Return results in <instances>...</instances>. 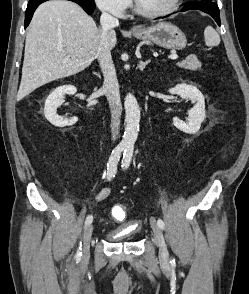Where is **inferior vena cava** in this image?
I'll use <instances>...</instances> for the list:
<instances>
[{
    "mask_svg": "<svg viewBox=\"0 0 249 294\" xmlns=\"http://www.w3.org/2000/svg\"><path fill=\"white\" fill-rule=\"evenodd\" d=\"M100 23L102 26V34L95 58L98 59L104 76L102 90L106 94L111 110V135L112 141L114 142L119 135L122 105L120 101L119 84L110 52L109 37L114 32L113 28L119 25V21L112 15L102 12Z\"/></svg>",
    "mask_w": 249,
    "mask_h": 294,
    "instance_id": "obj_1",
    "label": "inferior vena cava"
}]
</instances>
